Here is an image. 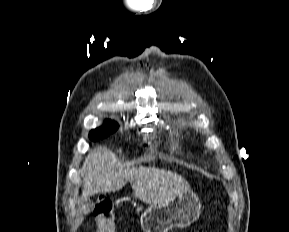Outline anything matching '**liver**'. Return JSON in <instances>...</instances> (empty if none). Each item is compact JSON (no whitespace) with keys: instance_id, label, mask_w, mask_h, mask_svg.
Masks as SVG:
<instances>
[{"instance_id":"liver-1","label":"liver","mask_w":289,"mask_h":232,"mask_svg":"<svg viewBox=\"0 0 289 232\" xmlns=\"http://www.w3.org/2000/svg\"><path fill=\"white\" fill-rule=\"evenodd\" d=\"M116 162V155L101 146L85 157L81 169L83 199L101 192L121 190L128 182L135 195L150 205L163 204L190 191L189 183L177 173L144 166L117 168Z\"/></svg>"}]
</instances>
